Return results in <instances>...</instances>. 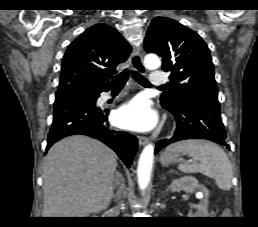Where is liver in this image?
<instances>
[{
    "label": "liver",
    "mask_w": 258,
    "mask_h": 227,
    "mask_svg": "<svg viewBox=\"0 0 258 227\" xmlns=\"http://www.w3.org/2000/svg\"><path fill=\"white\" fill-rule=\"evenodd\" d=\"M115 153L82 135L54 144L43 161V217H85L113 197Z\"/></svg>",
    "instance_id": "obj_1"
}]
</instances>
